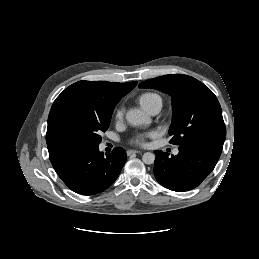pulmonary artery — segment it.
<instances>
[{"instance_id": "pulmonary-artery-1", "label": "pulmonary artery", "mask_w": 259, "mask_h": 259, "mask_svg": "<svg viewBox=\"0 0 259 259\" xmlns=\"http://www.w3.org/2000/svg\"><path fill=\"white\" fill-rule=\"evenodd\" d=\"M159 111H160V108H159V107H154V108H151V109L148 111V113H149L150 115H156V114H158ZM178 152H179V151H178L177 149L174 150V154H175V155H177Z\"/></svg>"}]
</instances>
